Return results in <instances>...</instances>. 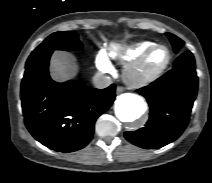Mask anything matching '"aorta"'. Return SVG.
Returning a JSON list of instances; mask_svg holds the SVG:
<instances>
[{"label": "aorta", "mask_w": 212, "mask_h": 183, "mask_svg": "<svg viewBox=\"0 0 212 183\" xmlns=\"http://www.w3.org/2000/svg\"><path fill=\"white\" fill-rule=\"evenodd\" d=\"M144 100L137 94L125 93L115 103V114L122 122H134L146 111Z\"/></svg>", "instance_id": "762f6f07"}]
</instances>
